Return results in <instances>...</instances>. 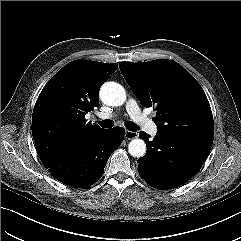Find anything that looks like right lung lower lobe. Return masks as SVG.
Returning a JSON list of instances; mask_svg holds the SVG:
<instances>
[{
	"instance_id": "1",
	"label": "right lung lower lobe",
	"mask_w": 241,
	"mask_h": 241,
	"mask_svg": "<svg viewBox=\"0 0 241 241\" xmlns=\"http://www.w3.org/2000/svg\"><path fill=\"white\" fill-rule=\"evenodd\" d=\"M124 134L125 130L120 127L103 129L87 141L40 159L60 182L73 187H88L101 177L110 155L122 143Z\"/></svg>"
}]
</instances>
